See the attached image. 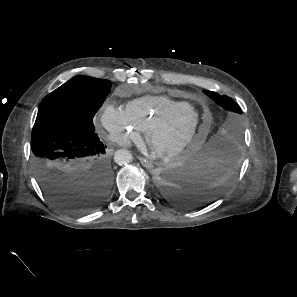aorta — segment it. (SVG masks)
Wrapping results in <instances>:
<instances>
[{
    "mask_svg": "<svg viewBox=\"0 0 297 297\" xmlns=\"http://www.w3.org/2000/svg\"><path fill=\"white\" fill-rule=\"evenodd\" d=\"M114 160L119 165L130 163L133 160L132 154L126 149H120L115 152Z\"/></svg>",
    "mask_w": 297,
    "mask_h": 297,
    "instance_id": "1",
    "label": "aorta"
}]
</instances>
